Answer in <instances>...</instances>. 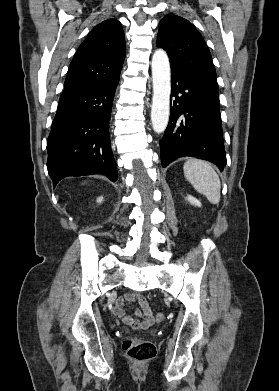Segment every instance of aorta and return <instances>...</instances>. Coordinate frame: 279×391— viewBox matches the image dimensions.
<instances>
[{
    "instance_id": "762f6f07",
    "label": "aorta",
    "mask_w": 279,
    "mask_h": 391,
    "mask_svg": "<svg viewBox=\"0 0 279 391\" xmlns=\"http://www.w3.org/2000/svg\"><path fill=\"white\" fill-rule=\"evenodd\" d=\"M153 98L151 122L156 133H162L167 127L170 114L171 74L166 52L158 49L152 56Z\"/></svg>"
}]
</instances>
